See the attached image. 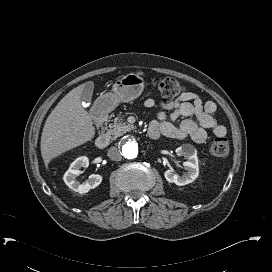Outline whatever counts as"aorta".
<instances>
[{"instance_id":"obj_1","label":"aorta","mask_w":272,"mask_h":272,"mask_svg":"<svg viewBox=\"0 0 272 272\" xmlns=\"http://www.w3.org/2000/svg\"><path fill=\"white\" fill-rule=\"evenodd\" d=\"M122 154L127 159H134L141 150V143L135 136H128L121 143Z\"/></svg>"}]
</instances>
